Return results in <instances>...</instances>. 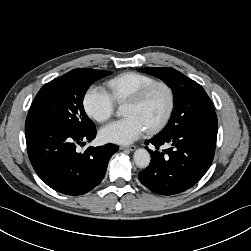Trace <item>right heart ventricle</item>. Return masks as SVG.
Listing matches in <instances>:
<instances>
[{"mask_svg":"<svg viewBox=\"0 0 251 251\" xmlns=\"http://www.w3.org/2000/svg\"><path fill=\"white\" fill-rule=\"evenodd\" d=\"M155 81L156 80L149 75L129 71L111 78L107 82V85L115 102L123 103L130 99L143 87Z\"/></svg>","mask_w":251,"mask_h":251,"instance_id":"obj_1","label":"right heart ventricle"}]
</instances>
